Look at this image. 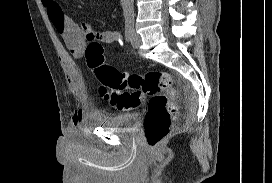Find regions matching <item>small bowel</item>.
<instances>
[{
	"mask_svg": "<svg viewBox=\"0 0 272 183\" xmlns=\"http://www.w3.org/2000/svg\"><path fill=\"white\" fill-rule=\"evenodd\" d=\"M41 2L46 8L52 24L75 58L83 56L87 42L97 41L103 44H114L121 40V34L118 31H95L88 22L76 23L64 13L60 0H41ZM80 121L81 115H79Z\"/></svg>",
	"mask_w": 272,
	"mask_h": 183,
	"instance_id": "c3829d8e",
	"label": "small bowel"
}]
</instances>
